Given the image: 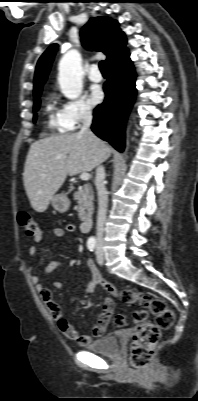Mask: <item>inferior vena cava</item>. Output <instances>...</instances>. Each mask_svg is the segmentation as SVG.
<instances>
[{
	"label": "inferior vena cava",
	"mask_w": 198,
	"mask_h": 401,
	"mask_svg": "<svg viewBox=\"0 0 198 401\" xmlns=\"http://www.w3.org/2000/svg\"><path fill=\"white\" fill-rule=\"evenodd\" d=\"M92 123V113L90 110H85L82 113V127L80 134L86 135L87 137L94 139L95 135L90 130ZM105 169L100 163L96 168L95 185L98 196V215L96 225V243L101 245L103 242L104 224L106 220L107 207H108V192L105 187Z\"/></svg>",
	"instance_id": "1"
}]
</instances>
